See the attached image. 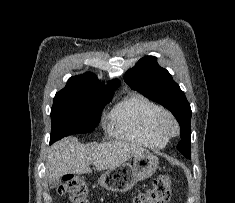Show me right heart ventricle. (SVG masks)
I'll list each match as a JSON object with an SVG mask.
<instances>
[{"label":"right heart ventricle","instance_id":"right-heart-ventricle-1","mask_svg":"<svg viewBox=\"0 0 235 203\" xmlns=\"http://www.w3.org/2000/svg\"><path fill=\"white\" fill-rule=\"evenodd\" d=\"M161 108L144 95L133 92L122 98L109 114V128L117 138L149 148H162L168 139L152 130Z\"/></svg>","mask_w":235,"mask_h":203}]
</instances>
